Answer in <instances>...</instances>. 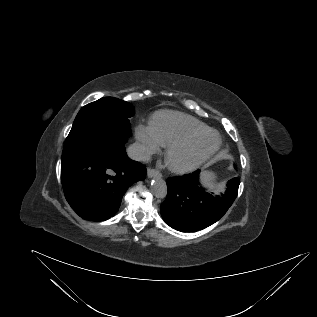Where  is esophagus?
<instances>
[{
    "label": "esophagus",
    "mask_w": 317,
    "mask_h": 317,
    "mask_svg": "<svg viewBox=\"0 0 317 317\" xmlns=\"http://www.w3.org/2000/svg\"><path fill=\"white\" fill-rule=\"evenodd\" d=\"M147 176L148 177H162V174L156 169L148 168Z\"/></svg>",
    "instance_id": "34e87169"
}]
</instances>
